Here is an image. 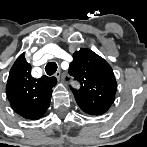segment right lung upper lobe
<instances>
[{"label":"right lung upper lobe","instance_id":"1","mask_svg":"<svg viewBox=\"0 0 147 147\" xmlns=\"http://www.w3.org/2000/svg\"><path fill=\"white\" fill-rule=\"evenodd\" d=\"M55 77L31 76V66L21 54L12 66L6 92L13 110L25 119L37 120L43 116L50 105Z\"/></svg>","mask_w":147,"mask_h":147}]
</instances>
